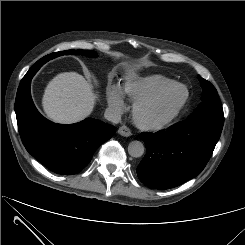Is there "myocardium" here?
<instances>
[{"mask_svg":"<svg viewBox=\"0 0 245 245\" xmlns=\"http://www.w3.org/2000/svg\"><path fill=\"white\" fill-rule=\"evenodd\" d=\"M177 88L182 89L184 91V94L182 99L178 103L177 107L174 109V111H172L165 118L158 121H148L144 118L143 114L147 107L159 102L168 93H170L172 90ZM189 97L190 94L186 85L182 83H172L154 94L142 97L139 100L135 101L132 109L133 120L135 124L143 130L146 131L162 130L170 126L176 119H178V117L182 114V112L186 108L189 101Z\"/></svg>","mask_w":245,"mask_h":245,"instance_id":"1","label":"myocardium"}]
</instances>
